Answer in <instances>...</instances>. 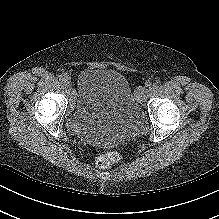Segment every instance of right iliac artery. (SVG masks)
<instances>
[{
  "instance_id": "right-iliac-artery-1",
  "label": "right iliac artery",
  "mask_w": 219,
  "mask_h": 219,
  "mask_svg": "<svg viewBox=\"0 0 219 219\" xmlns=\"http://www.w3.org/2000/svg\"><path fill=\"white\" fill-rule=\"evenodd\" d=\"M68 79H69V76H68L67 74H63V75L60 76L59 81H60L61 83H66V81H67Z\"/></svg>"
}]
</instances>
